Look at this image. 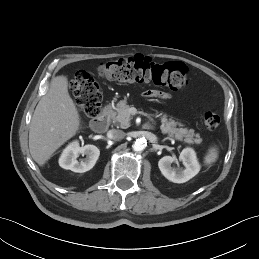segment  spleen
<instances>
[{
    "label": "spleen",
    "mask_w": 259,
    "mask_h": 259,
    "mask_svg": "<svg viewBox=\"0 0 259 259\" xmlns=\"http://www.w3.org/2000/svg\"><path fill=\"white\" fill-rule=\"evenodd\" d=\"M217 158H218V149L216 147H211L204 158V163L206 165H210L213 162H215Z\"/></svg>",
    "instance_id": "obj_1"
}]
</instances>
